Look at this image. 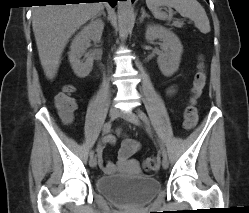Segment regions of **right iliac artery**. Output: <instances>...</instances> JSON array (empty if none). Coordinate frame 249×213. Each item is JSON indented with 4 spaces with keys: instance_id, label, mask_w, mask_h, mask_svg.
Wrapping results in <instances>:
<instances>
[{
    "instance_id": "82829eb1",
    "label": "right iliac artery",
    "mask_w": 249,
    "mask_h": 213,
    "mask_svg": "<svg viewBox=\"0 0 249 213\" xmlns=\"http://www.w3.org/2000/svg\"><path fill=\"white\" fill-rule=\"evenodd\" d=\"M111 126H112L111 121L105 123L104 126H103V134L109 133L110 130H111ZM93 156H94V151L92 150L90 152V157H93Z\"/></svg>"
}]
</instances>
